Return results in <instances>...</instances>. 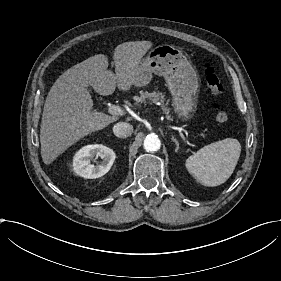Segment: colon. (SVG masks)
<instances>
[{
	"label": "colon",
	"instance_id": "obj_1",
	"mask_svg": "<svg viewBox=\"0 0 281 281\" xmlns=\"http://www.w3.org/2000/svg\"><path fill=\"white\" fill-rule=\"evenodd\" d=\"M201 72L203 74L204 82L211 95L220 97L224 93L223 83L218 76L214 65L210 62H203L201 64ZM213 120L218 125H225L229 121V114L221 104H216L212 110Z\"/></svg>",
	"mask_w": 281,
	"mask_h": 281
}]
</instances>
